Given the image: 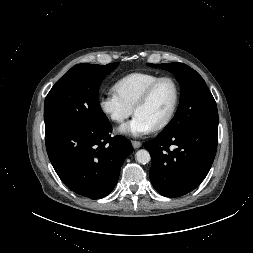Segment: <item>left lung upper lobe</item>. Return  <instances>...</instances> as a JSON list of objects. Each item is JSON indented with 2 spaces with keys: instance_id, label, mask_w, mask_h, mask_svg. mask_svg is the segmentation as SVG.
Segmentation results:
<instances>
[{
  "instance_id": "5c2ea615",
  "label": "left lung upper lobe",
  "mask_w": 253,
  "mask_h": 253,
  "mask_svg": "<svg viewBox=\"0 0 253 253\" xmlns=\"http://www.w3.org/2000/svg\"><path fill=\"white\" fill-rule=\"evenodd\" d=\"M172 72L179 81L181 98L178 110L160 135L168 136L188 128L218 129L216 102L203 78L182 63L148 64Z\"/></svg>"
}]
</instances>
